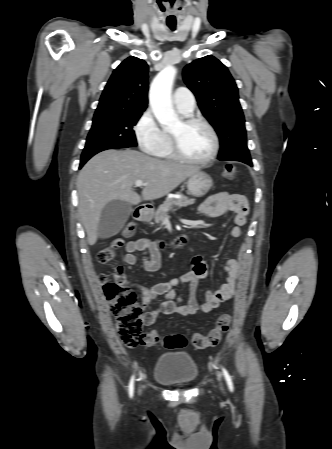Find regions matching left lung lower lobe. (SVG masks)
Masks as SVG:
<instances>
[{
  "instance_id": "left-lung-lower-lobe-1",
  "label": "left lung lower lobe",
  "mask_w": 332,
  "mask_h": 449,
  "mask_svg": "<svg viewBox=\"0 0 332 449\" xmlns=\"http://www.w3.org/2000/svg\"><path fill=\"white\" fill-rule=\"evenodd\" d=\"M246 164H248V165H250V166L253 165V164H252V161H247Z\"/></svg>"
}]
</instances>
